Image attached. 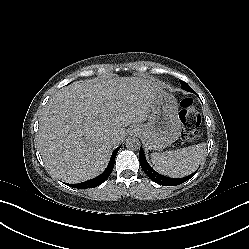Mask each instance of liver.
Listing matches in <instances>:
<instances>
[{
  "label": "liver",
  "mask_w": 249,
  "mask_h": 249,
  "mask_svg": "<svg viewBox=\"0 0 249 249\" xmlns=\"http://www.w3.org/2000/svg\"><path fill=\"white\" fill-rule=\"evenodd\" d=\"M157 90L145 79L120 78L75 82L60 91L40 119L37 147L45 166L72 173L76 183L101 174L125 127L147 120Z\"/></svg>",
  "instance_id": "obj_1"
}]
</instances>
